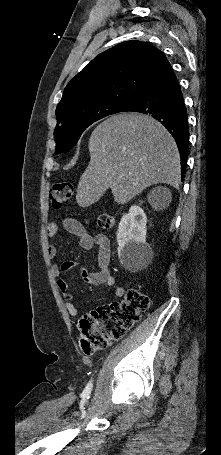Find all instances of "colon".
Segmentation results:
<instances>
[{
  "instance_id": "colon-1",
  "label": "colon",
  "mask_w": 221,
  "mask_h": 455,
  "mask_svg": "<svg viewBox=\"0 0 221 455\" xmlns=\"http://www.w3.org/2000/svg\"><path fill=\"white\" fill-rule=\"evenodd\" d=\"M73 194L72 183L55 184L50 191L52 208L60 210ZM114 223L115 219L110 214H101L97 219V224L102 229H110ZM149 305L147 295L139 290L130 289L123 301L112 302L84 315L79 321L82 351L92 353L103 349L112 340L123 338Z\"/></svg>"
}]
</instances>
